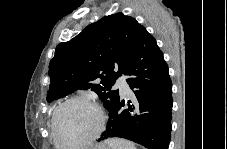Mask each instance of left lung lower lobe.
<instances>
[{"instance_id": "obj_1", "label": "left lung lower lobe", "mask_w": 227, "mask_h": 149, "mask_svg": "<svg viewBox=\"0 0 227 149\" xmlns=\"http://www.w3.org/2000/svg\"><path fill=\"white\" fill-rule=\"evenodd\" d=\"M124 75L135 94L127 109L120 98L109 110L106 131L99 141L126 138L148 149H168L171 134L172 83L156 40L142 26L127 61Z\"/></svg>"}]
</instances>
